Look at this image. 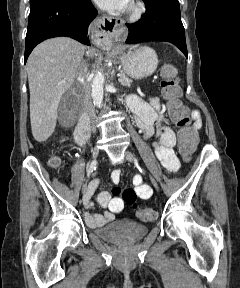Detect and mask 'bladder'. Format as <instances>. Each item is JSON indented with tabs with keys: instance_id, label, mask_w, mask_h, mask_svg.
I'll list each match as a JSON object with an SVG mask.
<instances>
[{
	"instance_id": "1",
	"label": "bladder",
	"mask_w": 240,
	"mask_h": 288,
	"mask_svg": "<svg viewBox=\"0 0 240 288\" xmlns=\"http://www.w3.org/2000/svg\"><path fill=\"white\" fill-rule=\"evenodd\" d=\"M95 232L101 238L110 241H136L147 234L148 227L142 224L122 225L119 223H112L98 228Z\"/></svg>"
}]
</instances>
